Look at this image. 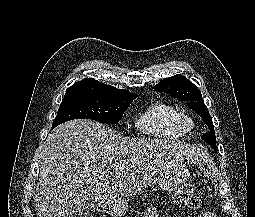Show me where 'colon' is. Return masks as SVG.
Instances as JSON below:
<instances>
[{"mask_svg":"<svg viewBox=\"0 0 255 217\" xmlns=\"http://www.w3.org/2000/svg\"><path fill=\"white\" fill-rule=\"evenodd\" d=\"M173 200L176 204L188 207L190 209H197L200 207L201 201L195 191L190 186L180 187L173 196Z\"/></svg>","mask_w":255,"mask_h":217,"instance_id":"1","label":"colon"}]
</instances>
